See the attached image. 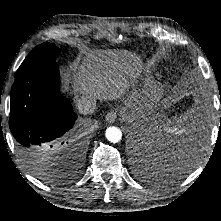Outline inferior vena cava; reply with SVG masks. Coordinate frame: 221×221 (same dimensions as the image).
Returning a JSON list of instances; mask_svg holds the SVG:
<instances>
[{"label": "inferior vena cava", "instance_id": "602c4592", "mask_svg": "<svg viewBox=\"0 0 221 221\" xmlns=\"http://www.w3.org/2000/svg\"><path fill=\"white\" fill-rule=\"evenodd\" d=\"M77 107L79 112L84 115L92 114L96 109V99L89 95L82 96L77 101Z\"/></svg>", "mask_w": 221, "mask_h": 221}]
</instances>
